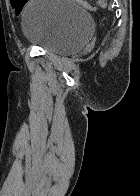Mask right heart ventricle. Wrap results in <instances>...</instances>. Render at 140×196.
I'll return each instance as SVG.
<instances>
[{"instance_id": "obj_1", "label": "right heart ventricle", "mask_w": 140, "mask_h": 196, "mask_svg": "<svg viewBox=\"0 0 140 196\" xmlns=\"http://www.w3.org/2000/svg\"><path fill=\"white\" fill-rule=\"evenodd\" d=\"M1 192H26V191H1ZM27 192H32V191H27Z\"/></svg>"}]
</instances>
